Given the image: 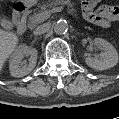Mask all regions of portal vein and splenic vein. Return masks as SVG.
Wrapping results in <instances>:
<instances>
[{"mask_svg": "<svg viewBox=\"0 0 119 119\" xmlns=\"http://www.w3.org/2000/svg\"><path fill=\"white\" fill-rule=\"evenodd\" d=\"M63 11V8L62 7H56L54 8L51 12H42L40 14L37 15L36 19L38 21H44L46 20L47 18H49L50 14L53 13V12H61Z\"/></svg>", "mask_w": 119, "mask_h": 119, "instance_id": "obj_1", "label": "portal vein and splenic vein"}]
</instances>
